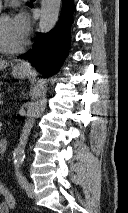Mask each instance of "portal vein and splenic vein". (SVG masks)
<instances>
[{
	"label": "portal vein and splenic vein",
	"mask_w": 128,
	"mask_h": 213,
	"mask_svg": "<svg viewBox=\"0 0 128 213\" xmlns=\"http://www.w3.org/2000/svg\"><path fill=\"white\" fill-rule=\"evenodd\" d=\"M3 103H4L3 100H0V105H3Z\"/></svg>",
	"instance_id": "18ae733b"
}]
</instances>
